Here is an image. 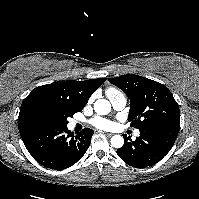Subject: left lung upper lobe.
Returning a JSON list of instances; mask_svg holds the SVG:
<instances>
[{
	"label": "left lung upper lobe",
	"instance_id": "left-lung-upper-lobe-1",
	"mask_svg": "<svg viewBox=\"0 0 199 199\" xmlns=\"http://www.w3.org/2000/svg\"><path fill=\"white\" fill-rule=\"evenodd\" d=\"M122 89L130 99L128 121L139 130L170 121H179V106L163 84L138 76L122 75L108 78Z\"/></svg>",
	"mask_w": 199,
	"mask_h": 199
}]
</instances>
